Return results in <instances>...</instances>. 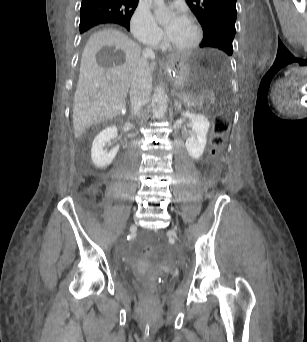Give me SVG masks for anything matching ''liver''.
Here are the masks:
<instances>
[{"label": "liver", "instance_id": "1", "mask_svg": "<svg viewBox=\"0 0 307 342\" xmlns=\"http://www.w3.org/2000/svg\"><path fill=\"white\" fill-rule=\"evenodd\" d=\"M141 50L118 30H100L90 36L80 64L73 104L75 138L85 130L119 116L140 64ZM156 72L157 64H149Z\"/></svg>", "mask_w": 307, "mask_h": 342}]
</instances>
